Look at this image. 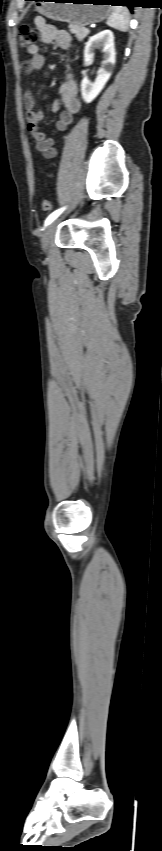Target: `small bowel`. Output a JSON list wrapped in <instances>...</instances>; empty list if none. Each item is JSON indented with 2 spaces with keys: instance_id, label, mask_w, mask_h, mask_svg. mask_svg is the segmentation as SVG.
I'll list each match as a JSON object with an SVG mask.
<instances>
[{
  "instance_id": "1",
  "label": "small bowel",
  "mask_w": 162,
  "mask_h": 851,
  "mask_svg": "<svg viewBox=\"0 0 162 851\" xmlns=\"http://www.w3.org/2000/svg\"><path fill=\"white\" fill-rule=\"evenodd\" d=\"M35 24L40 31L41 40L43 43L55 42L57 45L67 50L71 45V36L63 29L58 28L54 24L47 23L44 18L39 17L35 20ZM28 53L32 58L23 63V70L26 74H31L36 70H40L45 65V57L40 54L37 45L31 46ZM58 99L51 105L53 113H59V119L56 122V128L60 132H66L70 124L73 122L74 116L81 109V102L78 98V88L75 80L68 76L62 83L58 91ZM36 101L31 91H26L24 95V107L26 110L27 128L30 132L37 151L41 152L47 159H52L57 155V150L54 146V141L48 138L41 131V122L44 119V113L35 108ZM63 109L61 110V108Z\"/></svg>"
}]
</instances>
